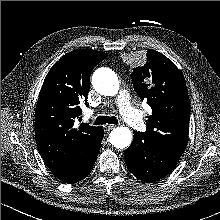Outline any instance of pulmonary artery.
Listing matches in <instances>:
<instances>
[{
    "label": "pulmonary artery",
    "mask_w": 220,
    "mask_h": 220,
    "mask_svg": "<svg viewBox=\"0 0 220 220\" xmlns=\"http://www.w3.org/2000/svg\"><path fill=\"white\" fill-rule=\"evenodd\" d=\"M115 102L117 103L123 118L131 127L136 130H143L145 128V121L142 114L132 106L127 90H120Z\"/></svg>",
    "instance_id": "e3ab8cb5"
}]
</instances>
